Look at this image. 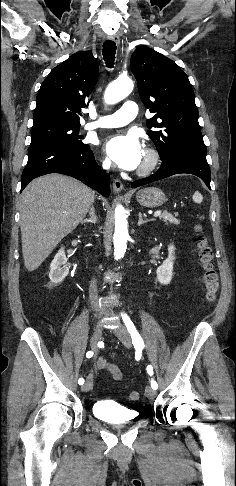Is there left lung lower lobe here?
<instances>
[{
	"instance_id": "obj_1",
	"label": "left lung lower lobe",
	"mask_w": 236,
	"mask_h": 486,
	"mask_svg": "<svg viewBox=\"0 0 236 486\" xmlns=\"http://www.w3.org/2000/svg\"><path fill=\"white\" fill-rule=\"evenodd\" d=\"M179 173L196 175L211 189V172L206 155L188 152H178L162 160V165L155 174L133 182L132 187L136 188Z\"/></svg>"
}]
</instances>
